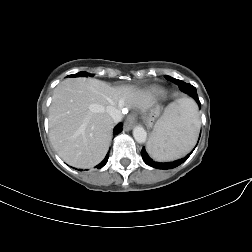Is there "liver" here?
I'll list each match as a JSON object with an SVG mask.
<instances>
[{
    "label": "liver",
    "instance_id": "1",
    "mask_svg": "<svg viewBox=\"0 0 252 252\" xmlns=\"http://www.w3.org/2000/svg\"><path fill=\"white\" fill-rule=\"evenodd\" d=\"M149 96L132 87H111L93 78H70L54 90L49 108V136L58 155L76 168L100 163L110 146L113 119L107 106L149 107Z\"/></svg>",
    "mask_w": 252,
    "mask_h": 252
}]
</instances>
